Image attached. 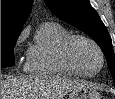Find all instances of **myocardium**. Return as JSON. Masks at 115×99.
Wrapping results in <instances>:
<instances>
[{
	"mask_svg": "<svg viewBox=\"0 0 115 99\" xmlns=\"http://www.w3.org/2000/svg\"><path fill=\"white\" fill-rule=\"evenodd\" d=\"M77 40H83L86 41L88 43H90L98 52L99 57H100V66L99 68L92 72H86L84 70H82L74 61L73 57H72V45L75 41ZM61 55L62 58L64 60V62L66 63V65L76 74L80 75V76H84V77H93L95 75H97L104 67L105 64V56L104 53L101 49V47L99 46V44L92 39L91 37H88L86 35H82V34H73L70 35L63 43L62 48H61Z\"/></svg>",
	"mask_w": 115,
	"mask_h": 99,
	"instance_id": "1",
	"label": "myocardium"
}]
</instances>
